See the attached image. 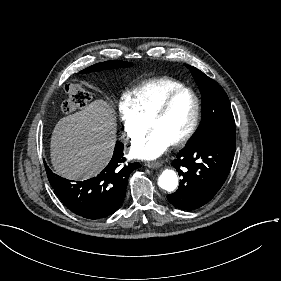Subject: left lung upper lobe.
Wrapping results in <instances>:
<instances>
[{
	"label": "left lung upper lobe",
	"instance_id": "obj_1",
	"mask_svg": "<svg viewBox=\"0 0 281 281\" xmlns=\"http://www.w3.org/2000/svg\"><path fill=\"white\" fill-rule=\"evenodd\" d=\"M185 66L191 71L202 95L201 123L189 142L204 137L235 142V121L227 94L199 69Z\"/></svg>",
	"mask_w": 281,
	"mask_h": 281
}]
</instances>
